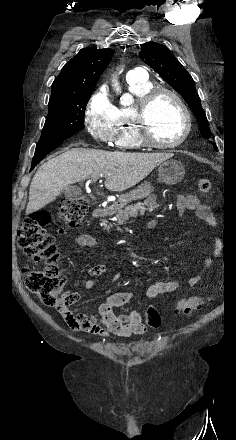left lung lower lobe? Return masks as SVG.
Instances as JSON below:
<instances>
[{"mask_svg":"<svg viewBox=\"0 0 236 440\" xmlns=\"http://www.w3.org/2000/svg\"><path fill=\"white\" fill-rule=\"evenodd\" d=\"M212 143V145L215 147V149H217V147H216V144L215 143H213V142H211Z\"/></svg>","mask_w":236,"mask_h":440,"instance_id":"obj_1","label":"left lung lower lobe"}]
</instances>
